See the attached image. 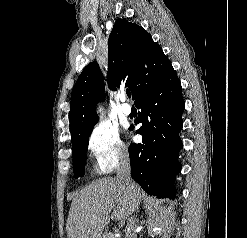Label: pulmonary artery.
<instances>
[{"label":"pulmonary artery","instance_id":"pulmonary-artery-1","mask_svg":"<svg viewBox=\"0 0 247 238\" xmlns=\"http://www.w3.org/2000/svg\"><path fill=\"white\" fill-rule=\"evenodd\" d=\"M121 101H122V105H121V111L123 114L125 115H130L131 113V106L126 103V97L125 95L121 96Z\"/></svg>","mask_w":247,"mask_h":238}]
</instances>
